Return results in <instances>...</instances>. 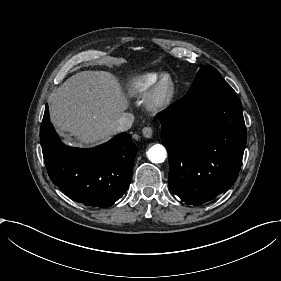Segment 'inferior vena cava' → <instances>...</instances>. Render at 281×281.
I'll return each mask as SVG.
<instances>
[{"label": "inferior vena cava", "mask_w": 281, "mask_h": 281, "mask_svg": "<svg viewBox=\"0 0 281 281\" xmlns=\"http://www.w3.org/2000/svg\"><path fill=\"white\" fill-rule=\"evenodd\" d=\"M134 116L131 113H123V115L113 123L118 132L127 131L131 128Z\"/></svg>", "instance_id": "inferior-vena-cava-1"}]
</instances>
